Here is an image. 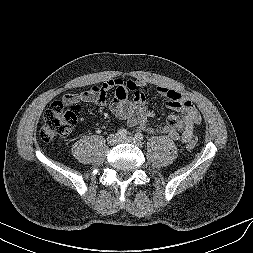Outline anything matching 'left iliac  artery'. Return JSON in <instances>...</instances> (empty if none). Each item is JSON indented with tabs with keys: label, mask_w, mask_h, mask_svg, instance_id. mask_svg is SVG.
<instances>
[{
	"label": "left iliac artery",
	"mask_w": 253,
	"mask_h": 253,
	"mask_svg": "<svg viewBox=\"0 0 253 253\" xmlns=\"http://www.w3.org/2000/svg\"><path fill=\"white\" fill-rule=\"evenodd\" d=\"M135 138L141 142V141H143L144 136L141 132H137L135 134Z\"/></svg>",
	"instance_id": "1"
}]
</instances>
